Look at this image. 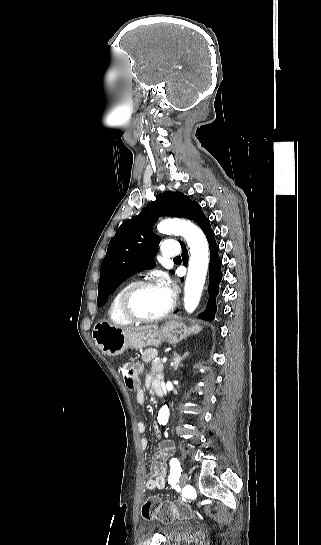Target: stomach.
I'll list each match as a JSON object with an SVG mask.
<instances>
[{"mask_svg": "<svg viewBox=\"0 0 321 545\" xmlns=\"http://www.w3.org/2000/svg\"><path fill=\"white\" fill-rule=\"evenodd\" d=\"M201 331L200 325L186 327L180 319H172L160 329H146V331H128L124 333L119 327L110 325L107 321H100L94 325L92 337L95 345L101 349L103 355H121L126 349H144V347H159L163 341L170 345L180 343L190 333L196 335Z\"/></svg>", "mask_w": 321, "mask_h": 545, "instance_id": "0dacf381", "label": "stomach"}]
</instances>
